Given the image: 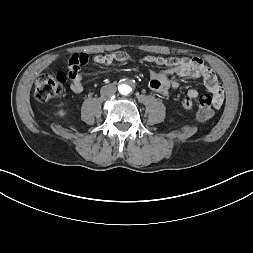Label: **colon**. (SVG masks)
Segmentation results:
<instances>
[{
  "label": "colon",
  "instance_id": "5ec220e1",
  "mask_svg": "<svg viewBox=\"0 0 253 253\" xmlns=\"http://www.w3.org/2000/svg\"><path fill=\"white\" fill-rule=\"evenodd\" d=\"M84 61L69 62L66 72L45 73L40 75L34 85L33 95L37 101L44 102L59 96L68 80L69 89L76 94H81L86 85L82 82L80 74ZM213 116V99L210 95H201L198 98L197 117L202 122L209 121Z\"/></svg>",
  "mask_w": 253,
  "mask_h": 253
}]
</instances>
